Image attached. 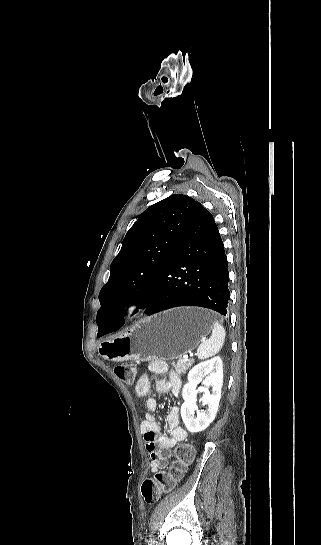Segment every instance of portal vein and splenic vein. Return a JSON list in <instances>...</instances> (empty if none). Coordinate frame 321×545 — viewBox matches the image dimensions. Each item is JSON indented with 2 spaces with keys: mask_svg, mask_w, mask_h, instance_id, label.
<instances>
[{
  "mask_svg": "<svg viewBox=\"0 0 321 545\" xmlns=\"http://www.w3.org/2000/svg\"><path fill=\"white\" fill-rule=\"evenodd\" d=\"M192 356H193V353H190V355H188V357H192ZM188 357H187V359H188ZM187 359H186V361H187Z\"/></svg>",
  "mask_w": 321,
  "mask_h": 545,
  "instance_id": "obj_1",
  "label": "portal vein and splenic vein"
}]
</instances>
